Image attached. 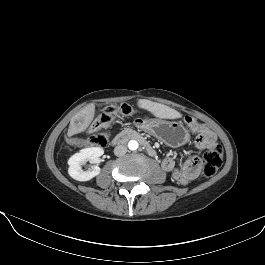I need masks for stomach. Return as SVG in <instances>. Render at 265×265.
I'll return each instance as SVG.
<instances>
[{
	"mask_svg": "<svg viewBox=\"0 0 265 265\" xmlns=\"http://www.w3.org/2000/svg\"><path fill=\"white\" fill-rule=\"evenodd\" d=\"M141 126L147 133L171 147L184 145L190 139L188 130L178 122L146 119Z\"/></svg>",
	"mask_w": 265,
	"mask_h": 265,
	"instance_id": "obj_1",
	"label": "stomach"
}]
</instances>
